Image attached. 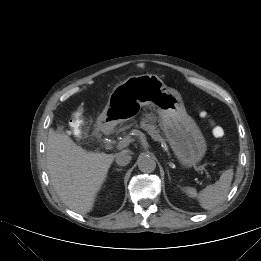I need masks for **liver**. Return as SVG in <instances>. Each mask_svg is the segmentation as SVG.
<instances>
[{"mask_svg": "<svg viewBox=\"0 0 261 261\" xmlns=\"http://www.w3.org/2000/svg\"><path fill=\"white\" fill-rule=\"evenodd\" d=\"M46 152L48 174L59 198L78 213L90 212L115 155L89 152L54 130L49 132Z\"/></svg>", "mask_w": 261, "mask_h": 261, "instance_id": "obj_1", "label": "liver"}]
</instances>
